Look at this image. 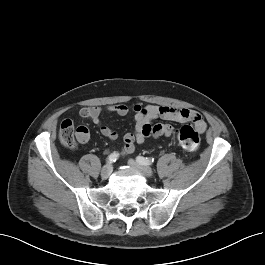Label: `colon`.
<instances>
[{
  "label": "colon",
  "mask_w": 265,
  "mask_h": 265,
  "mask_svg": "<svg viewBox=\"0 0 265 265\" xmlns=\"http://www.w3.org/2000/svg\"><path fill=\"white\" fill-rule=\"evenodd\" d=\"M60 143L67 149L73 150L77 147V134L71 120L65 119L59 127ZM200 135L198 129L191 125H185L178 132V143L187 152H195L200 146Z\"/></svg>",
  "instance_id": "1"
}]
</instances>
